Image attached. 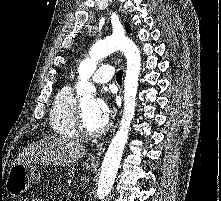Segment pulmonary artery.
<instances>
[{
  "mask_svg": "<svg viewBox=\"0 0 221 201\" xmlns=\"http://www.w3.org/2000/svg\"><path fill=\"white\" fill-rule=\"evenodd\" d=\"M114 76V69L109 64H104L97 69V71L92 76V80L97 83H107Z\"/></svg>",
  "mask_w": 221,
  "mask_h": 201,
  "instance_id": "obj_1",
  "label": "pulmonary artery"
}]
</instances>
